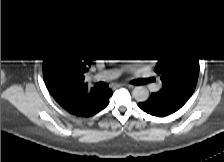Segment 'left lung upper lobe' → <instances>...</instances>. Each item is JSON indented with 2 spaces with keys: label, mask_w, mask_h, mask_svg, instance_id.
<instances>
[{
  "label": "left lung upper lobe",
  "mask_w": 224,
  "mask_h": 162,
  "mask_svg": "<svg viewBox=\"0 0 224 162\" xmlns=\"http://www.w3.org/2000/svg\"><path fill=\"white\" fill-rule=\"evenodd\" d=\"M155 71L162 80L160 93L189 98L197 84L199 61L196 54L170 45L160 54Z\"/></svg>",
  "instance_id": "left-lung-upper-lobe-1"
}]
</instances>
